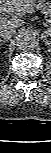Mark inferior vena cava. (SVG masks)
Here are the masks:
<instances>
[{"label": "inferior vena cava", "mask_w": 51, "mask_h": 153, "mask_svg": "<svg viewBox=\"0 0 51 153\" xmlns=\"http://www.w3.org/2000/svg\"><path fill=\"white\" fill-rule=\"evenodd\" d=\"M15 33H16L15 26L2 24L0 27V38H2L1 40L11 39Z\"/></svg>", "instance_id": "obj_1"}]
</instances>
